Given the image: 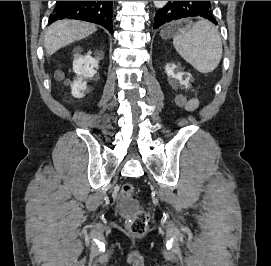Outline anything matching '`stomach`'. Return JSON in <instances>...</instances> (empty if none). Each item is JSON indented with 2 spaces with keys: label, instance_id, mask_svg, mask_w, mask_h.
<instances>
[{
  "label": "stomach",
  "instance_id": "obj_1",
  "mask_svg": "<svg viewBox=\"0 0 271 266\" xmlns=\"http://www.w3.org/2000/svg\"><path fill=\"white\" fill-rule=\"evenodd\" d=\"M176 34V28L174 26H169L161 31V37L163 39H169Z\"/></svg>",
  "mask_w": 271,
  "mask_h": 266
}]
</instances>
